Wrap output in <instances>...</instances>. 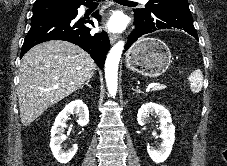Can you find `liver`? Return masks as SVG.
<instances>
[{
  "label": "liver",
  "mask_w": 227,
  "mask_h": 166,
  "mask_svg": "<svg viewBox=\"0 0 227 166\" xmlns=\"http://www.w3.org/2000/svg\"><path fill=\"white\" fill-rule=\"evenodd\" d=\"M96 64L79 46L61 40L36 45L23 57L18 102L24 126L47 108L80 88L94 75Z\"/></svg>",
  "instance_id": "obj_1"
}]
</instances>
